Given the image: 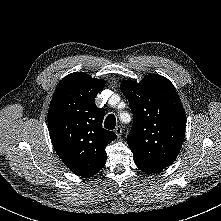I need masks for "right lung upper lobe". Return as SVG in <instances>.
I'll return each mask as SVG.
<instances>
[{
	"instance_id": "1",
	"label": "right lung upper lobe",
	"mask_w": 221,
	"mask_h": 221,
	"mask_svg": "<svg viewBox=\"0 0 221 221\" xmlns=\"http://www.w3.org/2000/svg\"><path fill=\"white\" fill-rule=\"evenodd\" d=\"M105 80L83 72L64 77L48 111V128L54 149L76 175L91 177L106 162V146L116 134L102 128L104 109L95 104Z\"/></svg>"
}]
</instances>
